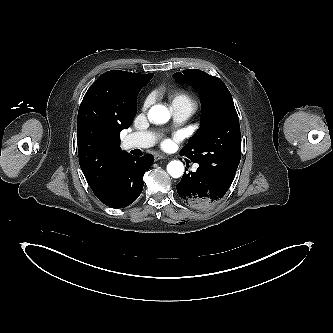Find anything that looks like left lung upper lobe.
Masks as SVG:
<instances>
[{
  "label": "left lung upper lobe",
  "mask_w": 333,
  "mask_h": 333,
  "mask_svg": "<svg viewBox=\"0 0 333 333\" xmlns=\"http://www.w3.org/2000/svg\"><path fill=\"white\" fill-rule=\"evenodd\" d=\"M183 74L177 72L173 78L191 83L199 92L202 124L180 155L230 187L241 158L239 118L231 93L219 78L201 70H184Z\"/></svg>",
  "instance_id": "left-lung-upper-lobe-1"
}]
</instances>
